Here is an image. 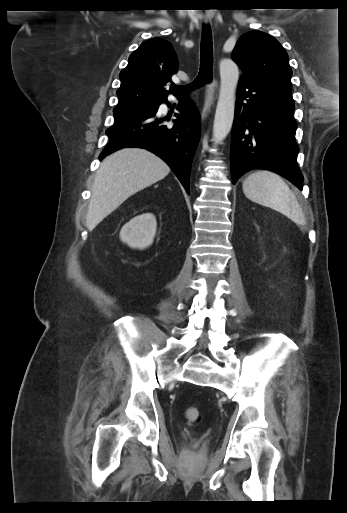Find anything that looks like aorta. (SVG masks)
<instances>
[{"mask_svg": "<svg viewBox=\"0 0 347 513\" xmlns=\"http://www.w3.org/2000/svg\"><path fill=\"white\" fill-rule=\"evenodd\" d=\"M220 90L213 124V140L222 142L229 134L234 120L235 93L239 80V70L235 62L229 59L221 60Z\"/></svg>", "mask_w": 347, "mask_h": 513, "instance_id": "762f6f07", "label": "aorta"}]
</instances>
